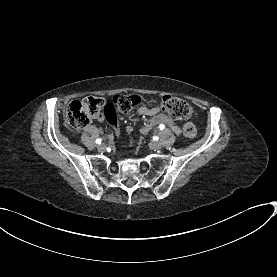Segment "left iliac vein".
I'll list each match as a JSON object with an SVG mask.
<instances>
[{
  "mask_svg": "<svg viewBox=\"0 0 277 277\" xmlns=\"http://www.w3.org/2000/svg\"><path fill=\"white\" fill-rule=\"evenodd\" d=\"M149 146L151 149H160L162 147V144L159 141H152L150 142Z\"/></svg>",
  "mask_w": 277,
  "mask_h": 277,
  "instance_id": "obj_1",
  "label": "left iliac vein"
}]
</instances>
